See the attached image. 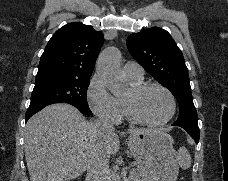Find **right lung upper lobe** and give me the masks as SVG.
Listing matches in <instances>:
<instances>
[{"instance_id": "right-lung-upper-lobe-1", "label": "right lung upper lobe", "mask_w": 228, "mask_h": 181, "mask_svg": "<svg viewBox=\"0 0 228 181\" xmlns=\"http://www.w3.org/2000/svg\"><path fill=\"white\" fill-rule=\"evenodd\" d=\"M102 44V33L91 25L66 24L45 47L36 77L63 75L90 79Z\"/></svg>"}]
</instances>
